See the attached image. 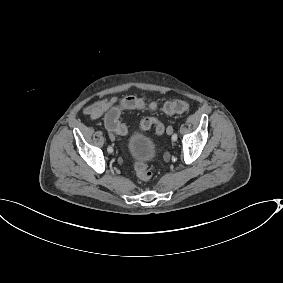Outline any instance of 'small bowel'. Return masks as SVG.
<instances>
[{"label":"small bowel","instance_id":"c3829d8e","mask_svg":"<svg viewBox=\"0 0 283 283\" xmlns=\"http://www.w3.org/2000/svg\"><path fill=\"white\" fill-rule=\"evenodd\" d=\"M118 103V99L114 96L105 98L99 101H96L92 103L91 105L87 106L84 109V113L90 118V119H97L101 117L106 112L116 108V105Z\"/></svg>","mask_w":283,"mask_h":283}]
</instances>
